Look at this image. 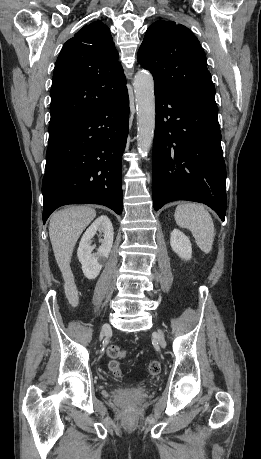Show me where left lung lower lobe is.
<instances>
[{
  "label": "left lung lower lobe",
  "mask_w": 261,
  "mask_h": 459,
  "mask_svg": "<svg viewBox=\"0 0 261 459\" xmlns=\"http://www.w3.org/2000/svg\"><path fill=\"white\" fill-rule=\"evenodd\" d=\"M155 109L154 209L175 200L195 201L224 221L226 168L216 103L155 88Z\"/></svg>",
  "instance_id": "1"
}]
</instances>
